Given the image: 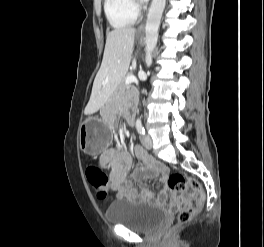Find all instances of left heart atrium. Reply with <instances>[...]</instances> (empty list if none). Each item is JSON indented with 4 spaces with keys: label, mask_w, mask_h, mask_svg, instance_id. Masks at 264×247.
Instances as JSON below:
<instances>
[{
    "label": "left heart atrium",
    "mask_w": 264,
    "mask_h": 247,
    "mask_svg": "<svg viewBox=\"0 0 264 247\" xmlns=\"http://www.w3.org/2000/svg\"><path fill=\"white\" fill-rule=\"evenodd\" d=\"M147 0H141V2H146Z\"/></svg>",
    "instance_id": "39dd6f15"
}]
</instances>
